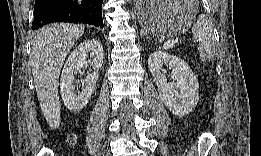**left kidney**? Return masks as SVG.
Returning a JSON list of instances; mask_svg holds the SVG:
<instances>
[{
    "mask_svg": "<svg viewBox=\"0 0 261 156\" xmlns=\"http://www.w3.org/2000/svg\"><path fill=\"white\" fill-rule=\"evenodd\" d=\"M163 65L172 69L175 84L167 83ZM148 68L165 106L178 117L188 115L199 100L198 80L189 65L180 57L157 51L149 56Z\"/></svg>",
    "mask_w": 261,
    "mask_h": 156,
    "instance_id": "left-kidney-1",
    "label": "left kidney"
}]
</instances>
